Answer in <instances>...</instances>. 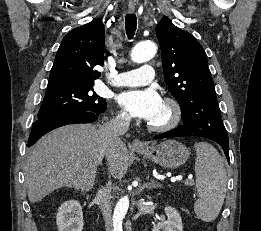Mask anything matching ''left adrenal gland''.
Masks as SVG:
<instances>
[{
	"mask_svg": "<svg viewBox=\"0 0 261 231\" xmlns=\"http://www.w3.org/2000/svg\"><path fill=\"white\" fill-rule=\"evenodd\" d=\"M147 180H149V178H147ZM145 188H147L148 190H151V189H157V188H160L161 185L157 182H155L154 180H151L150 182H146L144 184Z\"/></svg>",
	"mask_w": 261,
	"mask_h": 231,
	"instance_id": "left-adrenal-gland-1",
	"label": "left adrenal gland"
}]
</instances>
